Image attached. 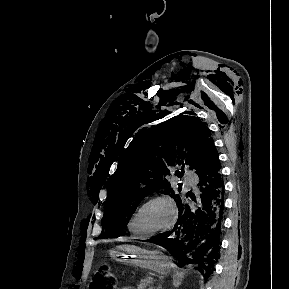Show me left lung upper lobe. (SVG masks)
I'll return each instance as SVG.
<instances>
[{
    "label": "left lung upper lobe",
    "mask_w": 289,
    "mask_h": 289,
    "mask_svg": "<svg viewBox=\"0 0 289 289\" xmlns=\"http://www.w3.org/2000/svg\"><path fill=\"white\" fill-rule=\"evenodd\" d=\"M188 113L138 133L124 151L107 185L99 238L121 236L138 203L152 192L180 197L169 183V167L185 163L196 172L207 162L216 149L211 133Z\"/></svg>",
    "instance_id": "5c2ea615"
}]
</instances>
